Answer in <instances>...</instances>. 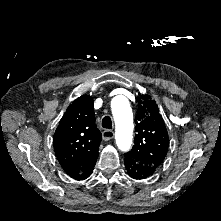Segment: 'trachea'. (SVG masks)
<instances>
[{"label": "trachea", "mask_w": 221, "mask_h": 221, "mask_svg": "<svg viewBox=\"0 0 221 221\" xmlns=\"http://www.w3.org/2000/svg\"><path fill=\"white\" fill-rule=\"evenodd\" d=\"M102 127L105 129H112V120L109 116H105L102 120Z\"/></svg>", "instance_id": "obj_1"}]
</instances>
